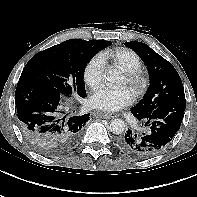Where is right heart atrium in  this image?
<instances>
[{
	"mask_svg": "<svg viewBox=\"0 0 197 197\" xmlns=\"http://www.w3.org/2000/svg\"><path fill=\"white\" fill-rule=\"evenodd\" d=\"M104 61L101 56H94L86 64L83 71L85 84L91 89L97 88L103 79Z\"/></svg>",
	"mask_w": 197,
	"mask_h": 197,
	"instance_id": "right-heart-atrium-1",
	"label": "right heart atrium"
}]
</instances>
